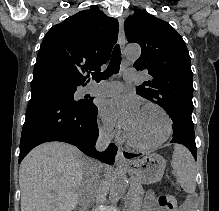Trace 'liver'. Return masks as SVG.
<instances>
[{
    "mask_svg": "<svg viewBox=\"0 0 219 211\" xmlns=\"http://www.w3.org/2000/svg\"><path fill=\"white\" fill-rule=\"evenodd\" d=\"M104 171L103 165L94 167L93 159L70 143H41L20 163L21 211H73L81 191L89 189L93 201Z\"/></svg>",
    "mask_w": 219,
    "mask_h": 211,
    "instance_id": "liver-1",
    "label": "liver"
}]
</instances>
